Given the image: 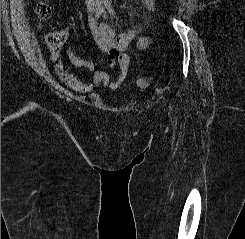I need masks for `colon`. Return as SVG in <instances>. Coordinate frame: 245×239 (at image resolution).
Wrapping results in <instances>:
<instances>
[{"instance_id": "5ec220e1", "label": "colon", "mask_w": 245, "mask_h": 239, "mask_svg": "<svg viewBox=\"0 0 245 239\" xmlns=\"http://www.w3.org/2000/svg\"><path fill=\"white\" fill-rule=\"evenodd\" d=\"M35 11L37 17L41 21H45L51 15V7L45 0H42L37 3ZM45 42L51 52H56L62 44V38L58 33H49L45 37ZM151 83V78L147 76H142L138 78L136 81V84L140 89L149 88Z\"/></svg>"}]
</instances>
